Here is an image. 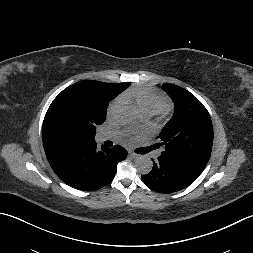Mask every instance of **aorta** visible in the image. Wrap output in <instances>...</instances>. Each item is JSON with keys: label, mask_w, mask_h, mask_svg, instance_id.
Segmentation results:
<instances>
[{"label": "aorta", "mask_w": 253, "mask_h": 253, "mask_svg": "<svg viewBox=\"0 0 253 253\" xmlns=\"http://www.w3.org/2000/svg\"><path fill=\"white\" fill-rule=\"evenodd\" d=\"M138 109L130 103L121 105L117 111V118L121 123H130L138 117ZM136 170L141 174H148L153 168V162L146 156L139 157L135 162Z\"/></svg>", "instance_id": "762f6f07"}]
</instances>
